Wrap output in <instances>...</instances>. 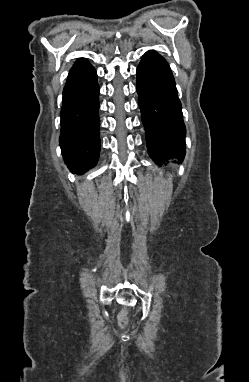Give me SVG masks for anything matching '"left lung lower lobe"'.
Here are the masks:
<instances>
[{"label":"left lung lower lobe","instance_id":"0a47b994","mask_svg":"<svg viewBox=\"0 0 249 382\" xmlns=\"http://www.w3.org/2000/svg\"><path fill=\"white\" fill-rule=\"evenodd\" d=\"M138 102L150 157L157 164L185 156V125L175 80L167 61L146 52L137 67Z\"/></svg>","mask_w":249,"mask_h":382}]
</instances>
